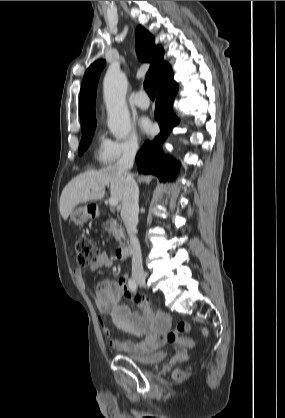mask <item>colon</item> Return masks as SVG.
<instances>
[{"label":"colon","mask_w":285,"mask_h":418,"mask_svg":"<svg viewBox=\"0 0 285 418\" xmlns=\"http://www.w3.org/2000/svg\"><path fill=\"white\" fill-rule=\"evenodd\" d=\"M75 248V254H76V260L78 265L85 267L89 264L94 263L97 261L99 255L98 251L93 245V243L86 237L78 238L74 243ZM190 331V325L189 323L185 321H180L177 323L175 328L173 330H170L167 333L166 340L169 343L174 344H183V345H189L190 340L188 338L182 337L184 334L188 333ZM203 333L205 336L208 335V332L206 330H203ZM185 374L183 372H177L176 373V379L181 380L183 379Z\"/></svg>","instance_id":"1"}]
</instances>
